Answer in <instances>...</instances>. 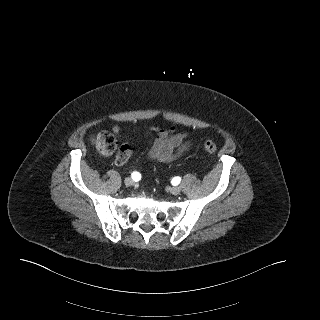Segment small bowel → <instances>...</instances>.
<instances>
[{"label":"small bowel","instance_id":"c3829d8e","mask_svg":"<svg viewBox=\"0 0 320 320\" xmlns=\"http://www.w3.org/2000/svg\"><path fill=\"white\" fill-rule=\"evenodd\" d=\"M112 131L118 136L121 134V129L118 126H114ZM147 134H158V137L154 140L147 155V158L151 161L164 163L172 162L189 151L192 146L188 133L184 131H176L175 129L159 130L157 128H150L147 131ZM122 147L130 156L131 151L129 146L124 145Z\"/></svg>","mask_w":320,"mask_h":320}]
</instances>
